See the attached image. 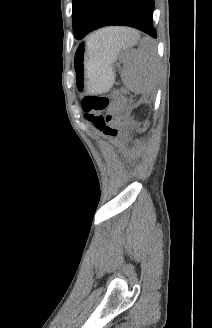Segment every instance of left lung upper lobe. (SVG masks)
<instances>
[{"mask_svg": "<svg viewBox=\"0 0 212 328\" xmlns=\"http://www.w3.org/2000/svg\"><path fill=\"white\" fill-rule=\"evenodd\" d=\"M104 0H73L74 37L78 40L87 35Z\"/></svg>", "mask_w": 212, "mask_h": 328, "instance_id": "obj_1", "label": "left lung upper lobe"}]
</instances>
